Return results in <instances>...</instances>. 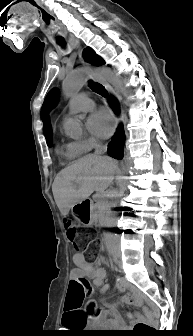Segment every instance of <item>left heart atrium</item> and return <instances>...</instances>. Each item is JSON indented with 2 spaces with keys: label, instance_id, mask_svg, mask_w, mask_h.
Masks as SVG:
<instances>
[{
  "label": "left heart atrium",
  "instance_id": "left-heart-atrium-1",
  "mask_svg": "<svg viewBox=\"0 0 193 336\" xmlns=\"http://www.w3.org/2000/svg\"><path fill=\"white\" fill-rule=\"evenodd\" d=\"M114 124L111 113L105 109H100L92 113L86 123L89 132L102 139L111 135Z\"/></svg>",
  "mask_w": 193,
  "mask_h": 336
}]
</instances>
